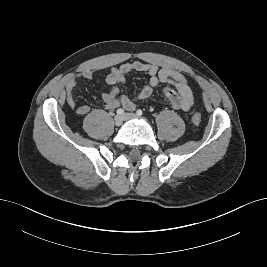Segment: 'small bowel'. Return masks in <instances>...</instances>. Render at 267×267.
<instances>
[{
    "instance_id": "small-bowel-1",
    "label": "small bowel",
    "mask_w": 267,
    "mask_h": 267,
    "mask_svg": "<svg viewBox=\"0 0 267 267\" xmlns=\"http://www.w3.org/2000/svg\"><path fill=\"white\" fill-rule=\"evenodd\" d=\"M132 72H142L149 77L148 84L141 89L136 98L126 96L120 90V87L126 86L127 77ZM93 75V70H85L77 76L70 77L65 85L67 105L75 108L81 116L87 115L90 112V107L86 104L76 106L74 89L80 79L90 80ZM106 83L109 85V89L103 93L102 100L107 110H113L116 107L134 110L137 102L149 98L153 89L160 84L170 86L164 88L163 93L174 109L188 111L193 105V94L187 79L174 69L160 67L153 63L135 61L112 67L106 76Z\"/></svg>"
}]
</instances>
